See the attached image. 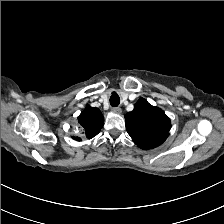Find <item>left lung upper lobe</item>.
Masks as SVG:
<instances>
[{
  "instance_id": "left-lung-upper-lobe-1",
  "label": "left lung upper lobe",
  "mask_w": 224,
  "mask_h": 224,
  "mask_svg": "<svg viewBox=\"0 0 224 224\" xmlns=\"http://www.w3.org/2000/svg\"><path fill=\"white\" fill-rule=\"evenodd\" d=\"M125 124L132 140L142 149L161 145L171 128L170 119L163 110L152 106L144 98H140L134 110L125 115Z\"/></svg>"
}]
</instances>
